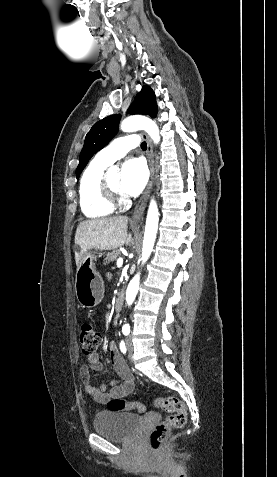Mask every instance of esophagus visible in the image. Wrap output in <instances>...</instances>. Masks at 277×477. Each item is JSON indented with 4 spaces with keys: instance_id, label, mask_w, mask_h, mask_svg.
<instances>
[{
    "instance_id": "esophagus-1",
    "label": "esophagus",
    "mask_w": 277,
    "mask_h": 477,
    "mask_svg": "<svg viewBox=\"0 0 277 477\" xmlns=\"http://www.w3.org/2000/svg\"><path fill=\"white\" fill-rule=\"evenodd\" d=\"M142 136L147 142V160H148V166L150 171V177H149V181L145 191L143 192L141 198L139 199V201L137 202L134 208L132 218H131L132 223H138L142 219L143 212H144L146 203L148 201L149 194L152 189L153 181H154V160H153L152 143L147 134L143 133Z\"/></svg>"
}]
</instances>
